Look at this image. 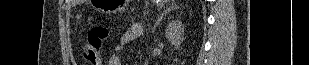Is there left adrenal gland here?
<instances>
[{
  "instance_id": "a2214340",
  "label": "left adrenal gland",
  "mask_w": 309,
  "mask_h": 65,
  "mask_svg": "<svg viewBox=\"0 0 309 65\" xmlns=\"http://www.w3.org/2000/svg\"><path fill=\"white\" fill-rule=\"evenodd\" d=\"M176 7H171V8H168L165 13H163L161 15V17H158L157 21L155 22L154 24V27H153V30L160 24V22L162 21V19L171 11V10H175Z\"/></svg>"
}]
</instances>
